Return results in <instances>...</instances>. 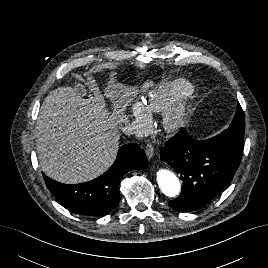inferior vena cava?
<instances>
[{
	"mask_svg": "<svg viewBox=\"0 0 268 268\" xmlns=\"http://www.w3.org/2000/svg\"><path fill=\"white\" fill-rule=\"evenodd\" d=\"M122 131L126 134V135H137L138 134V130L137 128L130 124L127 123L122 127Z\"/></svg>",
	"mask_w": 268,
	"mask_h": 268,
	"instance_id": "inferior-vena-cava-1",
	"label": "inferior vena cava"
}]
</instances>
